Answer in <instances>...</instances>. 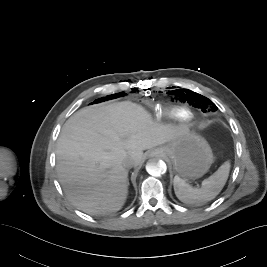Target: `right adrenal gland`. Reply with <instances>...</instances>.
<instances>
[{
    "label": "right adrenal gland",
    "instance_id": "right-adrenal-gland-1",
    "mask_svg": "<svg viewBox=\"0 0 267 267\" xmlns=\"http://www.w3.org/2000/svg\"><path fill=\"white\" fill-rule=\"evenodd\" d=\"M127 185L129 186V181H127Z\"/></svg>",
    "mask_w": 267,
    "mask_h": 267
}]
</instances>
